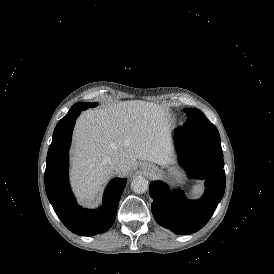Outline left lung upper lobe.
Returning a JSON list of instances; mask_svg holds the SVG:
<instances>
[{
	"mask_svg": "<svg viewBox=\"0 0 274 274\" xmlns=\"http://www.w3.org/2000/svg\"><path fill=\"white\" fill-rule=\"evenodd\" d=\"M183 111L186 112L188 117L183 126L203 131H218L200 110L185 108Z\"/></svg>",
	"mask_w": 274,
	"mask_h": 274,
	"instance_id": "1",
	"label": "left lung upper lobe"
}]
</instances>
